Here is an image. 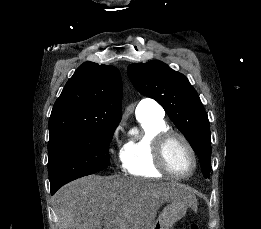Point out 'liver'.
<instances>
[{"instance_id": "6515ba94", "label": "liver", "mask_w": 261, "mask_h": 229, "mask_svg": "<svg viewBox=\"0 0 261 229\" xmlns=\"http://www.w3.org/2000/svg\"><path fill=\"white\" fill-rule=\"evenodd\" d=\"M59 229H150L168 201H195L188 187L89 175L68 183L56 197Z\"/></svg>"}]
</instances>
